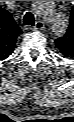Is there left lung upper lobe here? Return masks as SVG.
<instances>
[{
    "mask_svg": "<svg viewBox=\"0 0 74 122\" xmlns=\"http://www.w3.org/2000/svg\"><path fill=\"white\" fill-rule=\"evenodd\" d=\"M55 43L64 56L74 57V9L71 10L70 25L66 34L56 39Z\"/></svg>",
    "mask_w": 74,
    "mask_h": 122,
    "instance_id": "1",
    "label": "left lung upper lobe"
}]
</instances>
